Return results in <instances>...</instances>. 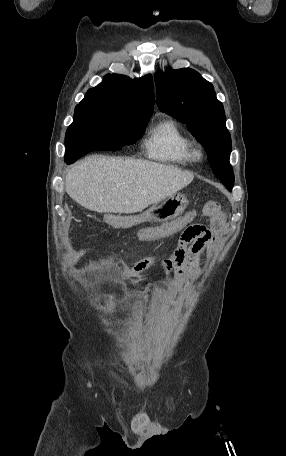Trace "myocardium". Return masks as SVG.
<instances>
[{
	"instance_id": "obj_1",
	"label": "myocardium",
	"mask_w": 286,
	"mask_h": 456,
	"mask_svg": "<svg viewBox=\"0 0 286 456\" xmlns=\"http://www.w3.org/2000/svg\"><path fill=\"white\" fill-rule=\"evenodd\" d=\"M203 149L201 146H194L191 148V159L200 161L203 158Z\"/></svg>"
}]
</instances>
